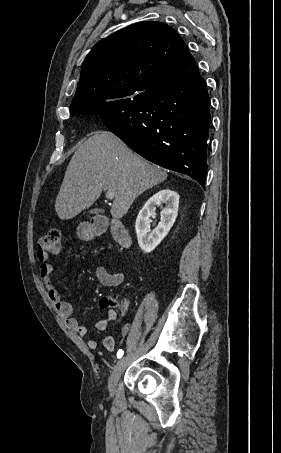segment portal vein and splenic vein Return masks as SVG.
<instances>
[{
  "instance_id": "1",
  "label": "portal vein and splenic vein",
  "mask_w": 281,
  "mask_h": 453,
  "mask_svg": "<svg viewBox=\"0 0 281 453\" xmlns=\"http://www.w3.org/2000/svg\"><path fill=\"white\" fill-rule=\"evenodd\" d=\"M114 196H115L114 192H111V190H107L106 198H110L111 200V198H114Z\"/></svg>"
}]
</instances>
